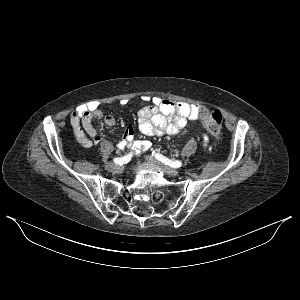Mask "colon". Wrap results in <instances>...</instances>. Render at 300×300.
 Here are the masks:
<instances>
[{
	"instance_id": "obj_1",
	"label": "colon",
	"mask_w": 300,
	"mask_h": 300,
	"mask_svg": "<svg viewBox=\"0 0 300 300\" xmlns=\"http://www.w3.org/2000/svg\"><path fill=\"white\" fill-rule=\"evenodd\" d=\"M197 116L201 118L204 127L211 134L218 135L220 133L223 116L219 110H208L205 107L199 106Z\"/></svg>"
}]
</instances>
